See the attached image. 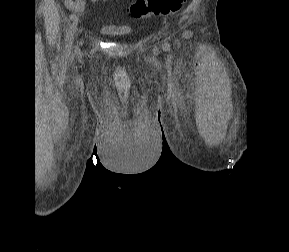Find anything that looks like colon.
I'll return each mask as SVG.
<instances>
[{
    "label": "colon",
    "mask_w": 289,
    "mask_h": 252,
    "mask_svg": "<svg viewBox=\"0 0 289 252\" xmlns=\"http://www.w3.org/2000/svg\"><path fill=\"white\" fill-rule=\"evenodd\" d=\"M185 0H135L129 13L132 18L166 16L178 12Z\"/></svg>",
    "instance_id": "1"
}]
</instances>
